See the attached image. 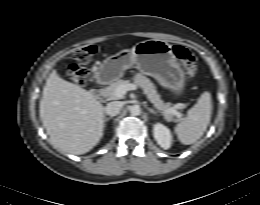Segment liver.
I'll return each instance as SVG.
<instances>
[{
  "mask_svg": "<svg viewBox=\"0 0 260 205\" xmlns=\"http://www.w3.org/2000/svg\"><path fill=\"white\" fill-rule=\"evenodd\" d=\"M39 113L47 134L60 151L85 154L103 136L102 104L92 92L62 79L56 70L46 80Z\"/></svg>",
  "mask_w": 260,
  "mask_h": 205,
  "instance_id": "6515ba94",
  "label": "liver"
}]
</instances>
